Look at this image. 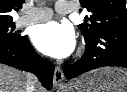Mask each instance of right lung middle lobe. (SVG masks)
Here are the masks:
<instances>
[{
    "label": "right lung middle lobe",
    "instance_id": "obj_1",
    "mask_svg": "<svg viewBox=\"0 0 127 92\" xmlns=\"http://www.w3.org/2000/svg\"><path fill=\"white\" fill-rule=\"evenodd\" d=\"M15 23L0 24V41L20 42L26 36L13 32Z\"/></svg>",
    "mask_w": 127,
    "mask_h": 92
}]
</instances>
